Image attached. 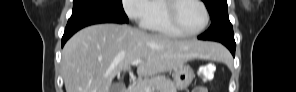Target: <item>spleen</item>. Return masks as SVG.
Returning a JSON list of instances; mask_svg holds the SVG:
<instances>
[{
  "mask_svg": "<svg viewBox=\"0 0 296 92\" xmlns=\"http://www.w3.org/2000/svg\"><path fill=\"white\" fill-rule=\"evenodd\" d=\"M223 53H224V49H223L222 52H220V53L217 55V58H218V57H226L225 55L223 56Z\"/></svg>",
  "mask_w": 296,
  "mask_h": 92,
  "instance_id": "obj_1",
  "label": "spleen"
}]
</instances>
